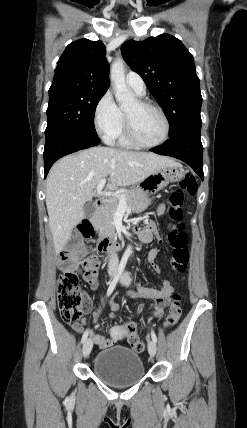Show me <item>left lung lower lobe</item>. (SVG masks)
Segmentation results:
<instances>
[{
    "instance_id": "1",
    "label": "left lung lower lobe",
    "mask_w": 247,
    "mask_h": 428,
    "mask_svg": "<svg viewBox=\"0 0 247 428\" xmlns=\"http://www.w3.org/2000/svg\"><path fill=\"white\" fill-rule=\"evenodd\" d=\"M160 155L175 157L187 163L203 180V146L200 130H192L170 139L164 146L151 150Z\"/></svg>"
}]
</instances>
